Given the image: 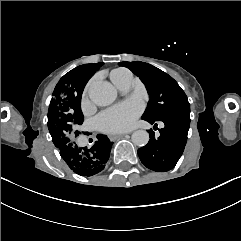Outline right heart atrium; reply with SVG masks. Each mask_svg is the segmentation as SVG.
Segmentation results:
<instances>
[{
	"label": "right heart atrium",
	"mask_w": 241,
	"mask_h": 241,
	"mask_svg": "<svg viewBox=\"0 0 241 241\" xmlns=\"http://www.w3.org/2000/svg\"><path fill=\"white\" fill-rule=\"evenodd\" d=\"M82 104H83L84 106H87V105H88V99H87L86 95H84L83 98H82Z\"/></svg>",
	"instance_id": "1"
}]
</instances>
